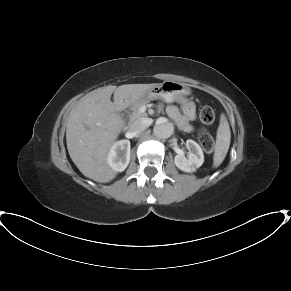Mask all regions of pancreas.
<instances>
[{
  "instance_id": "pancreas-1",
  "label": "pancreas",
  "mask_w": 291,
  "mask_h": 291,
  "mask_svg": "<svg viewBox=\"0 0 291 291\" xmlns=\"http://www.w3.org/2000/svg\"><path fill=\"white\" fill-rule=\"evenodd\" d=\"M149 102V99H141L139 100L138 102L134 103L132 106H131V114H130V120H135L137 118H141L143 116H146V113H141L140 112V108L142 106H145L147 103Z\"/></svg>"
}]
</instances>
